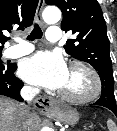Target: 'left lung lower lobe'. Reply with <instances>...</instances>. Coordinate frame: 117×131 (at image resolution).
I'll return each mask as SVG.
<instances>
[{
	"label": "left lung lower lobe",
	"mask_w": 117,
	"mask_h": 131,
	"mask_svg": "<svg viewBox=\"0 0 117 131\" xmlns=\"http://www.w3.org/2000/svg\"><path fill=\"white\" fill-rule=\"evenodd\" d=\"M110 93L108 92V90L106 88H104L102 90V94L100 99L94 103V105H100V106H104L108 109H110L116 116H117V108L115 104H109L108 103V98H110ZM105 98V99H104Z\"/></svg>",
	"instance_id": "left-lung-lower-lobe-1"
}]
</instances>
